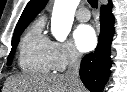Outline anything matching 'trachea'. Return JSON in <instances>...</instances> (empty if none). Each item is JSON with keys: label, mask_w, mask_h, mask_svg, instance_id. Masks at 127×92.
Here are the masks:
<instances>
[{"label": "trachea", "mask_w": 127, "mask_h": 92, "mask_svg": "<svg viewBox=\"0 0 127 92\" xmlns=\"http://www.w3.org/2000/svg\"><path fill=\"white\" fill-rule=\"evenodd\" d=\"M87 1L94 8L98 6V0H87Z\"/></svg>", "instance_id": "3493384b"}]
</instances>
